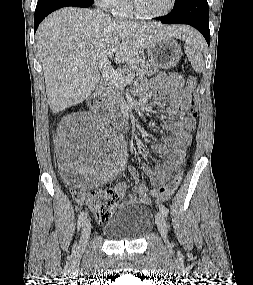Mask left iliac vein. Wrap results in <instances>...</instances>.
<instances>
[{
    "instance_id": "1",
    "label": "left iliac vein",
    "mask_w": 253,
    "mask_h": 285,
    "mask_svg": "<svg viewBox=\"0 0 253 285\" xmlns=\"http://www.w3.org/2000/svg\"><path fill=\"white\" fill-rule=\"evenodd\" d=\"M156 224L158 227V230L164 240V242L167 245H170L169 240H168V236H167V224H166V220H165V216L163 215V213L157 212L156 214Z\"/></svg>"
}]
</instances>
